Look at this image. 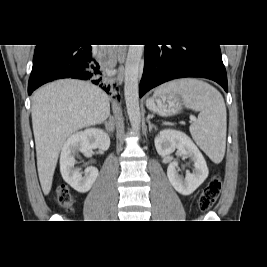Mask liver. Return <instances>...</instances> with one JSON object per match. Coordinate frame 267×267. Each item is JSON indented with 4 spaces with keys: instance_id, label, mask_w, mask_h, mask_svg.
I'll list each match as a JSON object with an SVG mask.
<instances>
[{
    "instance_id": "obj_1",
    "label": "liver",
    "mask_w": 267,
    "mask_h": 267,
    "mask_svg": "<svg viewBox=\"0 0 267 267\" xmlns=\"http://www.w3.org/2000/svg\"><path fill=\"white\" fill-rule=\"evenodd\" d=\"M109 98L90 82L65 79L37 90L32 98V126L42 191L48 195L59 153L74 132L109 116Z\"/></svg>"
}]
</instances>
